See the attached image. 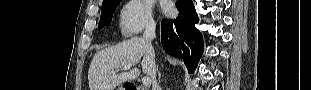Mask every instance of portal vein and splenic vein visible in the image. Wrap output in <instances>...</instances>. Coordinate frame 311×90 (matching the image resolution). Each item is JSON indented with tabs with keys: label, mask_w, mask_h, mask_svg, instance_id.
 Wrapping results in <instances>:
<instances>
[{
	"label": "portal vein and splenic vein",
	"mask_w": 311,
	"mask_h": 90,
	"mask_svg": "<svg viewBox=\"0 0 311 90\" xmlns=\"http://www.w3.org/2000/svg\"><path fill=\"white\" fill-rule=\"evenodd\" d=\"M131 68L130 65L128 66H124L123 68H121V70H129ZM116 71H112V73H115ZM142 83L145 87H148L151 85V79L149 77H143L142 78Z\"/></svg>",
	"instance_id": "1"
}]
</instances>
